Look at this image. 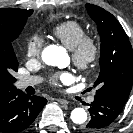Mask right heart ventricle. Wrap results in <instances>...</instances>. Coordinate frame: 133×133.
Segmentation results:
<instances>
[{"label": "right heart ventricle", "instance_id": "right-heart-ventricle-1", "mask_svg": "<svg viewBox=\"0 0 133 133\" xmlns=\"http://www.w3.org/2000/svg\"><path fill=\"white\" fill-rule=\"evenodd\" d=\"M53 35L71 49L86 36V29L77 21H64L53 28Z\"/></svg>", "mask_w": 133, "mask_h": 133}]
</instances>
